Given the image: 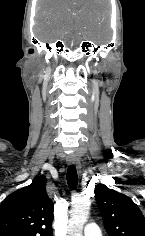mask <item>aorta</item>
<instances>
[{"mask_svg": "<svg viewBox=\"0 0 145 236\" xmlns=\"http://www.w3.org/2000/svg\"><path fill=\"white\" fill-rule=\"evenodd\" d=\"M91 201L83 197L75 200L70 209L68 236H83V226L87 221Z\"/></svg>", "mask_w": 145, "mask_h": 236, "instance_id": "aorta-1", "label": "aorta"}]
</instances>
